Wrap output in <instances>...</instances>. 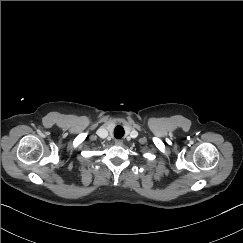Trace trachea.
Here are the masks:
<instances>
[{
  "mask_svg": "<svg viewBox=\"0 0 243 243\" xmlns=\"http://www.w3.org/2000/svg\"><path fill=\"white\" fill-rule=\"evenodd\" d=\"M114 136L117 139H120L124 136V129L122 126H116V128L114 129Z\"/></svg>",
  "mask_w": 243,
  "mask_h": 243,
  "instance_id": "trachea-1",
  "label": "trachea"
}]
</instances>
